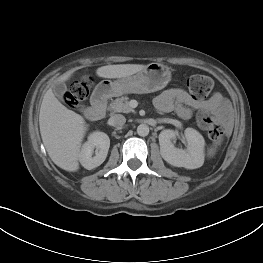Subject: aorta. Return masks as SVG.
<instances>
[{"instance_id":"1","label":"aorta","mask_w":263,"mask_h":263,"mask_svg":"<svg viewBox=\"0 0 263 263\" xmlns=\"http://www.w3.org/2000/svg\"><path fill=\"white\" fill-rule=\"evenodd\" d=\"M137 134L141 137H145L149 134V126L146 124H140L137 127Z\"/></svg>"}]
</instances>
